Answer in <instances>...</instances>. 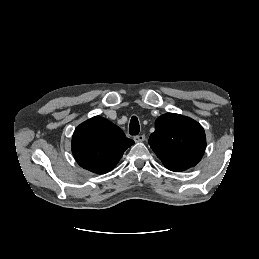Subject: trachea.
<instances>
[{"instance_id":"3493384b","label":"trachea","mask_w":259,"mask_h":259,"mask_svg":"<svg viewBox=\"0 0 259 259\" xmlns=\"http://www.w3.org/2000/svg\"><path fill=\"white\" fill-rule=\"evenodd\" d=\"M140 131L139 121L136 116H133L130 120L129 133L131 135H138Z\"/></svg>"}]
</instances>
